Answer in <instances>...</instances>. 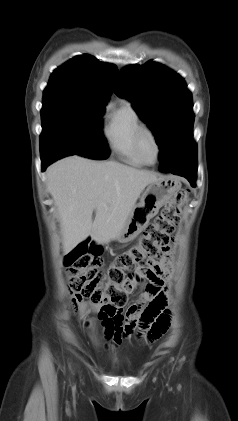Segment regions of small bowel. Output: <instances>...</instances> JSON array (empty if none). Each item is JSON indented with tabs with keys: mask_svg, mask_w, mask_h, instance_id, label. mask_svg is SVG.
<instances>
[{
	"mask_svg": "<svg viewBox=\"0 0 238 421\" xmlns=\"http://www.w3.org/2000/svg\"><path fill=\"white\" fill-rule=\"evenodd\" d=\"M174 265V252L166 250L162 256L146 268L136 270L131 278L134 288L142 285L138 301L131 304L123 315L116 310L110 323H103L105 334L114 344H119L125 337L138 332L139 336L147 335L150 339L157 338L169 324L170 300L168 282ZM133 288V289H134ZM97 304H85L80 319L92 312H100ZM93 322H86L90 327Z\"/></svg>",
	"mask_w": 238,
	"mask_h": 421,
	"instance_id": "c3829d8e",
	"label": "small bowel"
}]
</instances>
